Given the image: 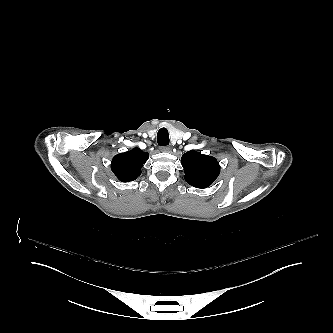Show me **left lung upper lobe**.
Here are the masks:
<instances>
[{"mask_svg":"<svg viewBox=\"0 0 333 333\" xmlns=\"http://www.w3.org/2000/svg\"><path fill=\"white\" fill-rule=\"evenodd\" d=\"M181 164L186 182L196 188H207L220 173V165L214 157L195 150L183 154Z\"/></svg>","mask_w":333,"mask_h":333,"instance_id":"left-lung-upper-lobe-1","label":"left lung upper lobe"}]
</instances>
